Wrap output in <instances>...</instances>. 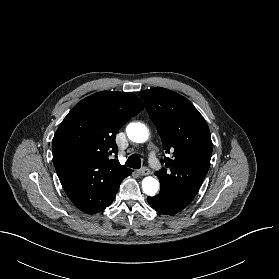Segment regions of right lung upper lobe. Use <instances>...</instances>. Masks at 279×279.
Segmentation results:
<instances>
[{"label":"right lung upper lobe","mask_w":279,"mask_h":279,"mask_svg":"<svg viewBox=\"0 0 279 279\" xmlns=\"http://www.w3.org/2000/svg\"><path fill=\"white\" fill-rule=\"evenodd\" d=\"M144 109L131 92L102 91L77 103L61 122L52 140L59 180L73 204L85 213L105 208L132 170L118 160L115 135Z\"/></svg>","instance_id":"cb5924a9"}]
</instances>
